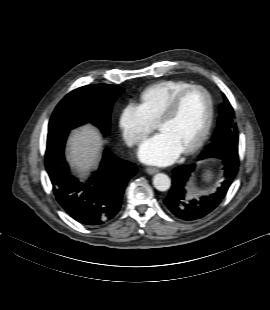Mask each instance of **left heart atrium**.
<instances>
[{
  "instance_id": "obj_1",
  "label": "left heart atrium",
  "mask_w": 270,
  "mask_h": 310,
  "mask_svg": "<svg viewBox=\"0 0 270 310\" xmlns=\"http://www.w3.org/2000/svg\"><path fill=\"white\" fill-rule=\"evenodd\" d=\"M180 154L181 150L162 132L144 141L138 151L143 162L156 165L169 164Z\"/></svg>"
}]
</instances>
